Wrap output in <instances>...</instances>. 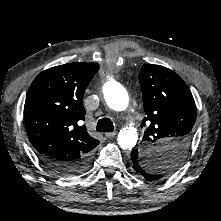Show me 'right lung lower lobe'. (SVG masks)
<instances>
[{
	"instance_id": "obj_1",
	"label": "right lung lower lobe",
	"mask_w": 221,
	"mask_h": 221,
	"mask_svg": "<svg viewBox=\"0 0 221 221\" xmlns=\"http://www.w3.org/2000/svg\"><path fill=\"white\" fill-rule=\"evenodd\" d=\"M41 161L54 173L61 176H72L77 175L85 170L91 164V156H86L79 161L73 162H63L54 159H49L47 157L39 156Z\"/></svg>"
}]
</instances>
